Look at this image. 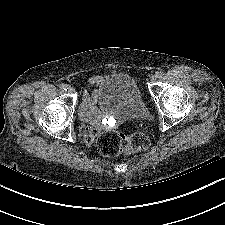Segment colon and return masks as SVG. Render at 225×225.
Listing matches in <instances>:
<instances>
[{"label":"colon","instance_id":"colon-1","mask_svg":"<svg viewBox=\"0 0 225 225\" xmlns=\"http://www.w3.org/2000/svg\"><path fill=\"white\" fill-rule=\"evenodd\" d=\"M150 146L149 138L144 133L125 135L120 132H103L96 140L98 152L104 156L133 154L144 151Z\"/></svg>","mask_w":225,"mask_h":225}]
</instances>
